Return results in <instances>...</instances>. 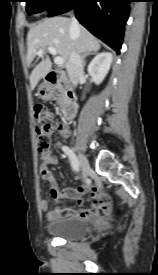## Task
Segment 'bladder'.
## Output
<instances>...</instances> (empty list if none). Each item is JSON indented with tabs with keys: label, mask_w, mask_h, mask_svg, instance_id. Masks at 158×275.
<instances>
[{
	"label": "bladder",
	"mask_w": 158,
	"mask_h": 275,
	"mask_svg": "<svg viewBox=\"0 0 158 275\" xmlns=\"http://www.w3.org/2000/svg\"><path fill=\"white\" fill-rule=\"evenodd\" d=\"M48 234L64 239H80L89 231L88 223L79 217H62L46 224Z\"/></svg>",
	"instance_id": "bladder-1"
}]
</instances>
